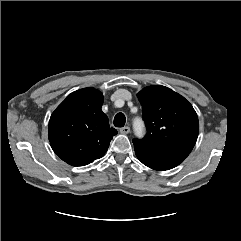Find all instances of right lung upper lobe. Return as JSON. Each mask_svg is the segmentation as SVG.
Listing matches in <instances>:
<instances>
[{
	"instance_id": "1",
	"label": "right lung upper lobe",
	"mask_w": 241,
	"mask_h": 241,
	"mask_svg": "<svg viewBox=\"0 0 241 241\" xmlns=\"http://www.w3.org/2000/svg\"><path fill=\"white\" fill-rule=\"evenodd\" d=\"M103 94L92 87L71 93L52 113L48 136L53 151L72 166L101 158L117 130L102 112Z\"/></svg>"
}]
</instances>
